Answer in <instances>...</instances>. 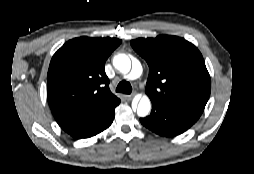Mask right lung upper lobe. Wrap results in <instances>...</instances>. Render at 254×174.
<instances>
[{"label": "right lung upper lobe", "mask_w": 254, "mask_h": 174, "mask_svg": "<svg viewBox=\"0 0 254 174\" xmlns=\"http://www.w3.org/2000/svg\"><path fill=\"white\" fill-rule=\"evenodd\" d=\"M121 44L117 38L79 37L66 42L52 57L47 74V98L58 124L82 111L120 103L109 89L104 67Z\"/></svg>", "instance_id": "right-lung-upper-lobe-1"}]
</instances>
